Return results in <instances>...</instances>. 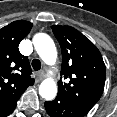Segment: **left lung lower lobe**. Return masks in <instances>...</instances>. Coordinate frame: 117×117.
<instances>
[{
	"label": "left lung lower lobe",
	"mask_w": 117,
	"mask_h": 117,
	"mask_svg": "<svg viewBox=\"0 0 117 117\" xmlns=\"http://www.w3.org/2000/svg\"><path fill=\"white\" fill-rule=\"evenodd\" d=\"M45 109L51 117H83L88 113L60 96L45 102Z\"/></svg>",
	"instance_id": "1"
}]
</instances>
